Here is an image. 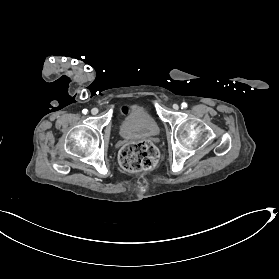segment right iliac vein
Returning a JSON list of instances; mask_svg holds the SVG:
<instances>
[{
  "mask_svg": "<svg viewBox=\"0 0 279 279\" xmlns=\"http://www.w3.org/2000/svg\"><path fill=\"white\" fill-rule=\"evenodd\" d=\"M91 113H92L93 115H96V114L98 113V109H97V108H93V109L91 110Z\"/></svg>",
  "mask_w": 279,
  "mask_h": 279,
  "instance_id": "1",
  "label": "right iliac vein"
}]
</instances>
